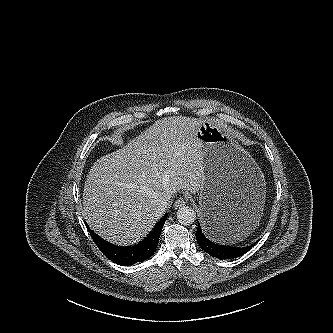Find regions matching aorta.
I'll return each mask as SVG.
<instances>
[{
	"label": "aorta",
	"mask_w": 333,
	"mask_h": 333,
	"mask_svg": "<svg viewBox=\"0 0 333 333\" xmlns=\"http://www.w3.org/2000/svg\"><path fill=\"white\" fill-rule=\"evenodd\" d=\"M177 219L182 225H190L196 220V212L189 206L181 207L177 212Z\"/></svg>",
	"instance_id": "obj_1"
}]
</instances>
